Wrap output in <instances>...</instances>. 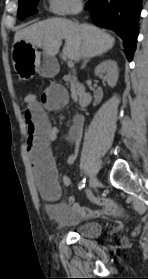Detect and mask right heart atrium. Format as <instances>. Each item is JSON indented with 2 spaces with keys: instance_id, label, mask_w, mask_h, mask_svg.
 Masks as SVG:
<instances>
[{
  "instance_id": "1",
  "label": "right heart atrium",
  "mask_w": 148,
  "mask_h": 279,
  "mask_svg": "<svg viewBox=\"0 0 148 279\" xmlns=\"http://www.w3.org/2000/svg\"><path fill=\"white\" fill-rule=\"evenodd\" d=\"M49 10L56 15H69L78 12L82 0H48Z\"/></svg>"
}]
</instances>
